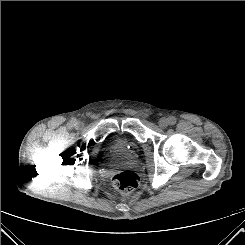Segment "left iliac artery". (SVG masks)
<instances>
[{"mask_svg": "<svg viewBox=\"0 0 245 245\" xmlns=\"http://www.w3.org/2000/svg\"><path fill=\"white\" fill-rule=\"evenodd\" d=\"M170 125H174L176 123V118L174 116L169 117L168 119Z\"/></svg>", "mask_w": 245, "mask_h": 245, "instance_id": "44dca946", "label": "left iliac artery"}]
</instances>
